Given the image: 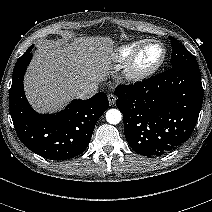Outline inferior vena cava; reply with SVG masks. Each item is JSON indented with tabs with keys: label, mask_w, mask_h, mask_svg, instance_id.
<instances>
[{
	"label": "inferior vena cava",
	"mask_w": 212,
	"mask_h": 212,
	"mask_svg": "<svg viewBox=\"0 0 212 212\" xmlns=\"http://www.w3.org/2000/svg\"><path fill=\"white\" fill-rule=\"evenodd\" d=\"M97 88L96 83H87L77 88L74 94L79 99H88L96 94Z\"/></svg>",
	"instance_id": "inferior-vena-cava-1"
}]
</instances>
